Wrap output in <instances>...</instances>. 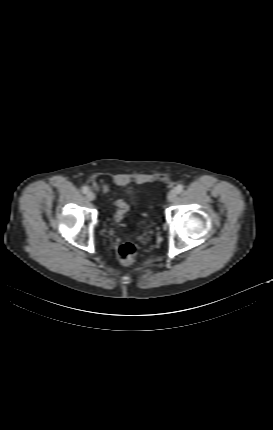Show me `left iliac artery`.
I'll list each match as a JSON object with an SVG mask.
<instances>
[{"label":"left iliac artery","mask_w":273,"mask_h":430,"mask_svg":"<svg viewBox=\"0 0 273 430\" xmlns=\"http://www.w3.org/2000/svg\"><path fill=\"white\" fill-rule=\"evenodd\" d=\"M184 186L182 184L177 185L175 188V191L177 194L181 193L183 191Z\"/></svg>","instance_id":"1"}]
</instances>
